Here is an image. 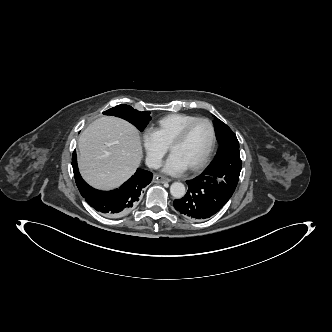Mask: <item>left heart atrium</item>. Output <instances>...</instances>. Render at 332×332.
<instances>
[{"label": "left heart atrium", "mask_w": 332, "mask_h": 332, "mask_svg": "<svg viewBox=\"0 0 332 332\" xmlns=\"http://www.w3.org/2000/svg\"><path fill=\"white\" fill-rule=\"evenodd\" d=\"M187 169L185 164L174 154H171L163 164V171L167 174L177 175Z\"/></svg>", "instance_id": "1"}]
</instances>
